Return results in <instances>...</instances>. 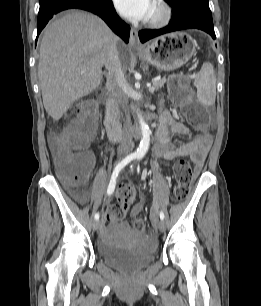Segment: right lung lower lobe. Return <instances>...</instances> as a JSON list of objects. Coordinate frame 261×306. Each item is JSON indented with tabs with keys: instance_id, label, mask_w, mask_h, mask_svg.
Returning a JSON list of instances; mask_svg holds the SVG:
<instances>
[{
	"instance_id": "obj_1",
	"label": "right lung lower lobe",
	"mask_w": 261,
	"mask_h": 306,
	"mask_svg": "<svg viewBox=\"0 0 261 306\" xmlns=\"http://www.w3.org/2000/svg\"><path fill=\"white\" fill-rule=\"evenodd\" d=\"M39 3L37 36L54 14L70 8H79L100 16L126 43L129 41L130 26L119 18L111 0H39Z\"/></svg>"
}]
</instances>
